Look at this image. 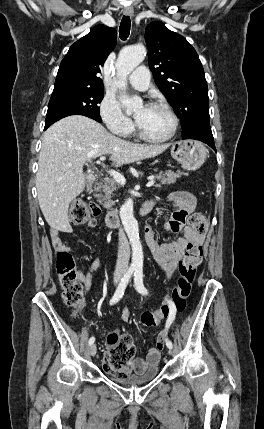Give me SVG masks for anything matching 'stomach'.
<instances>
[{"label":"stomach","mask_w":264,"mask_h":429,"mask_svg":"<svg viewBox=\"0 0 264 429\" xmlns=\"http://www.w3.org/2000/svg\"><path fill=\"white\" fill-rule=\"evenodd\" d=\"M171 156L185 169L195 170L205 162L207 149L199 141H178L172 144Z\"/></svg>","instance_id":"1"}]
</instances>
